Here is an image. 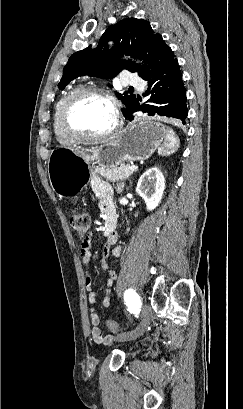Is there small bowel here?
I'll return each instance as SVG.
<instances>
[{
    "instance_id": "c3829d8e",
    "label": "small bowel",
    "mask_w": 243,
    "mask_h": 409,
    "mask_svg": "<svg viewBox=\"0 0 243 409\" xmlns=\"http://www.w3.org/2000/svg\"><path fill=\"white\" fill-rule=\"evenodd\" d=\"M93 189L95 193L100 198V208L103 212H107L108 210H112L115 212V207L112 198V189L104 185L100 180H95L93 182ZM117 243V233L114 232L111 237L106 239L104 251L101 260V269L103 272L108 274L107 285L104 291V297L101 302L102 307H109L111 302V295H112V285L117 279V274L113 271L109 266V257L112 255L115 258H120L123 254L122 248L116 244ZM80 254L82 257V264L85 267V286L88 290V301L91 305H95L97 302L98 294L92 288V278L88 271V267L90 265V238L89 236L85 237V239L81 243ZM90 322H91V330L90 335L94 342L99 344H109L113 336L108 335L103 337L101 330H100V318L96 312L95 308H91L90 311Z\"/></svg>"
}]
</instances>
